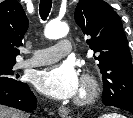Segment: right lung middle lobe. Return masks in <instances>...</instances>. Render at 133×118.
I'll list each match as a JSON object with an SVG mask.
<instances>
[{
    "mask_svg": "<svg viewBox=\"0 0 133 118\" xmlns=\"http://www.w3.org/2000/svg\"><path fill=\"white\" fill-rule=\"evenodd\" d=\"M15 62H0V88L12 87L21 84L17 81L18 75L14 74Z\"/></svg>",
    "mask_w": 133,
    "mask_h": 118,
    "instance_id": "dd1d6c3e",
    "label": "right lung middle lobe"
}]
</instances>
